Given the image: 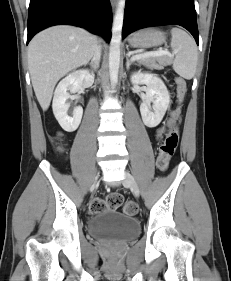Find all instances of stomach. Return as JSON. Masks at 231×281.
Here are the masks:
<instances>
[{"mask_svg":"<svg viewBox=\"0 0 231 281\" xmlns=\"http://www.w3.org/2000/svg\"><path fill=\"white\" fill-rule=\"evenodd\" d=\"M166 40L165 34L154 28H148L133 33L129 38L128 42L132 47H154L162 45Z\"/></svg>","mask_w":231,"mask_h":281,"instance_id":"1","label":"stomach"}]
</instances>
